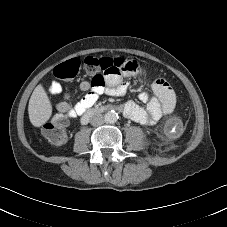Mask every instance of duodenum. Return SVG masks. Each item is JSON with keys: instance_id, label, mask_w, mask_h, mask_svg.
I'll use <instances>...</instances> for the list:
<instances>
[{"instance_id": "410a0bca", "label": "duodenum", "mask_w": 227, "mask_h": 227, "mask_svg": "<svg viewBox=\"0 0 227 227\" xmlns=\"http://www.w3.org/2000/svg\"><path fill=\"white\" fill-rule=\"evenodd\" d=\"M101 111H102V108H96V109H91L86 111L82 116L81 123L83 125L87 124L90 121V119H92L96 114H98Z\"/></svg>"}]
</instances>
